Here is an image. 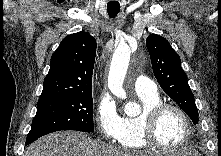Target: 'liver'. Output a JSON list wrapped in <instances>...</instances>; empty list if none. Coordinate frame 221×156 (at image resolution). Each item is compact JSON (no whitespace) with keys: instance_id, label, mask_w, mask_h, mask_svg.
Wrapping results in <instances>:
<instances>
[{"instance_id":"liver-1","label":"liver","mask_w":221,"mask_h":156,"mask_svg":"<svg viewBox=\"0 0 221 156\" xmlns=\"http://www.w3.org/2000/svg\"><path fill=\"white\" fill-rule=\"evenodd\" d=\"M25 156H152L92 140L85 133L60 131L27 147Z\"/></svg>"}]
</instances>
